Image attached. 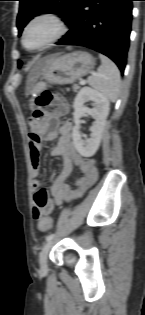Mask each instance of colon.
I'll return each mask as SVG.
<instances>
[{
  "instance_id": "1",
  "label": "colon",
  "mask_w": 145,
  "mask_h": 315,
  "mask_svg": "<svg viewBox=\"0 0 145 315\" xmlns=\"http://www.w3.org/2000/svg\"><path fill=\"white\" fill-rule=\"evenodd\" d=\"M37 107L34 111V117L30 122L42 118L48 115H58L66 110V103L64 100L52 94L51 92H43L37 99ZM53 226V220L51 217H42L38 221V228L41 231H47Z\"/></svg>"
}]
</instances>
